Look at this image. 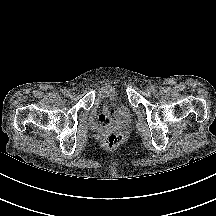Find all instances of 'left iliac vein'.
I'll use <instances>...</instances> for the list:
<instances>
[{"instance_id":"obj_1","label":"left iliac vein","mask_w":216,"mask_h":216,"mask_svg":"<svg viewBox=\"0 0 216 216\" xmlns=\"http://www.w3.org/2000/svg\"><path fill=\"white\" fill-rule=\"evenodd\" d=\"M145 93L146 94H151L152 93V86H148L145 88Z\"/></svg>"}]
</instances>
